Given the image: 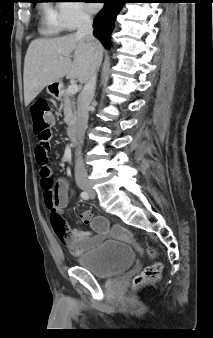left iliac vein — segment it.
<instances>
[{"mask_svg":"<svg viewBox=\"0 0 213 338\" xmlns=\"http://www.w3.org/2000/svg\"><path fill=\"white\" fill-rule=\"evenodd\" d=\"M89 194H90V197H91V198H94V197H95L94 191H89Z\"/></svg>","mask_w":213,"mask_h":338,"instance_id":"left-iliac-vein-1","label":"left iliac vein"}]
</instances>
